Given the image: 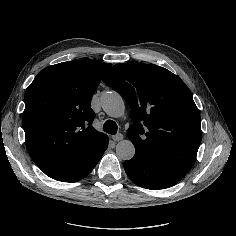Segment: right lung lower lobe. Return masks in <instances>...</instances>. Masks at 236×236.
<instances>
[{
    "instance_id": "98d812e1",
    "label": "right lung lower lobe",
    "mask_w": 236,
    "mask_h": 236,
    "mask_svg": "<svg viewBox=\"0 0 236 236\" xmlns=\"http://www.w3.org/2000/svg\"><path fill=\"white\" fill-rule=\"evenodd\" d=\"M108 140H106L98 149L90 152L60 180L62 182H77L85 178L94 169L104 151L107 149Z\"/></svg>"
}]
</instances>
